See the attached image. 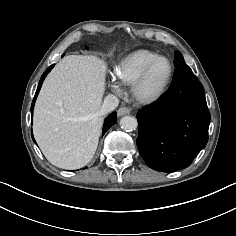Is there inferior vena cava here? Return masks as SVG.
I'll use <instances>...</instances> for the list:
<instances>
[{
	"mask_svg": "<svg viewBox=\"0 0 236 236\" xmlns=\"http://www.w3.org/2000/svg\"><path fill=\"white\" fill-rule=\"evenodd\" d=\"M119 105V99L113 95L109 94L105 97L104 102L101 107V114H106L108 112L113 111Z\"/></svg>",
	"mask_w": 236,
	"mask_h": 236,
	"instance_id": "inferior-vena-cava-1",
	"label": "inferior vena cava"
}]
</instances>
